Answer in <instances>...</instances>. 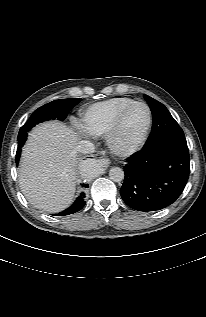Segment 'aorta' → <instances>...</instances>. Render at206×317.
I'll return each instance as SVG.
<instances>
[{"label": "aorta", "instance_id": "aorta-1", "mask_svg": "<svg viewBox=\"0 0 206 317\" xmlns=\"http://www.w3.org/2000/svg\"><path fill=\"white\" fill-rule=\"evenodd\" d=\"M100 165L95 160L86 161L82 165V174L86 178H92L98 175ZM109 177L114 182H120L124 179V171L120 167H112L109 171Z\"/></svg>", "mask_w": 206, "mask_h": 317}]
</instances>
